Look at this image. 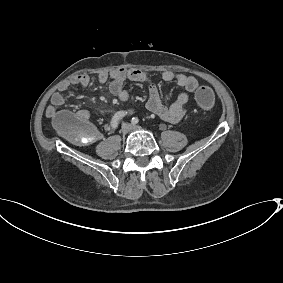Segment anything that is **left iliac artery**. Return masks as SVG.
<instances>
[{"label":"left iliac artery","mask_w":283,"mask_h":283,"mask_svg":"<svg viewBox=\"0 0 283 283\" xmlns=\"http://www.w3.org/2000/svg\"><path fill=\"white\" fill-rule=\"evenodd\" d=\"M139 122V119L137 117H133L131 120L132 124H137Z\"/></svg>","instance_id":"left-iliac-artery-1"}]
</instances>
